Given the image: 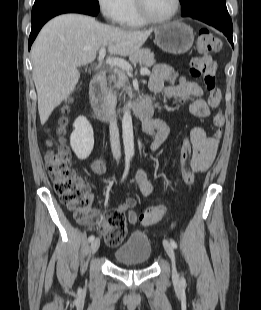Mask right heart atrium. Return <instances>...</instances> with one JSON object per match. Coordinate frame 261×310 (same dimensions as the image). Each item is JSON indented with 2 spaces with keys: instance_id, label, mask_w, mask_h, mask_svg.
I'll list each match as a JSON object with an SVG mask.
<instances>
[{
  "instance_id": "d8ad5b80",
  "label": "right heart atrium",
  "mask_w": 261,
  "mask_h": 310,
  "mask_svg": "<svg viewBox=\"0 0 261 310\" xmlns=\"http://www.w3.org/2000/svg\"><path fill=\"white\" fill-rule=\"evenodd\" d=\"M99 11L110 23L119 24L126 10V0H96Z\"/></svg>"
}]
</instances>
